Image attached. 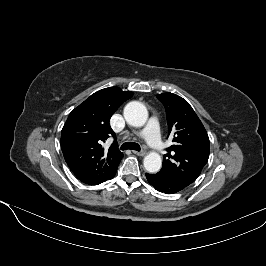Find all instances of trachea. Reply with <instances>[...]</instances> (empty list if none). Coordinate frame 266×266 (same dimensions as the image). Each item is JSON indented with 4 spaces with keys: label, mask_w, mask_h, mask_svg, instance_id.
Returning <instances> with one entry per match:
<instances>
[{
    "label": "trachea",
    "mask_w": 266,
    "mask_h": 266,
    "mask_svg": "<svg viewBox=\"0 0 266 266\" xmlns=\"http://www.w3.org/2000/svg\"><path fill=\"white\" fill-rule=\"evenodd\" d=\"M128 149L140 151V145L135 142H125L124 144H122L121 150H128Z\"/></svg>",
    "instance_id": "3493384b"
}]
</instances>
